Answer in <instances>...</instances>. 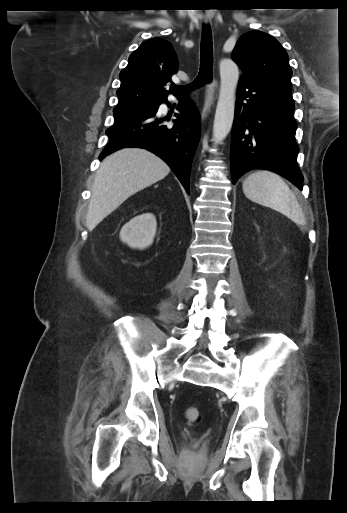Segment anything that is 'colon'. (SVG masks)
Instances as JSON below:
<instances>
[{"label": "colon", "instance_id": "5ec220e1", "mask_svg": "<svg viewBox=\"0 0 347 513\" xmlns=\"http://www.w3.org/2000/svg\"><path fill=\"white\" fill-rule=\"evenodd\" d=\"M185 416L190 424H198L202 420V413L195 407H189L186 409Z\"/></svg>", "mask_w": 347, "mask_h": 513}]
</instances>
